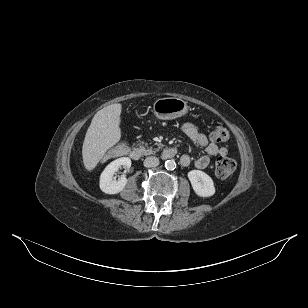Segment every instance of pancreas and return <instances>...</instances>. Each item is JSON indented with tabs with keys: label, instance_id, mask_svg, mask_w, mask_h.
Wrapping results in <instances>:
<instances>
[{
	"label": "pancreas",
	"instance_id": "pancreas-1",
	"mask_svg": "<svg viewBox=\"0 0 308 308\" xmlns=\"http://www.w3.org/2000/svg\"><path fill=\"white\" fill-rule=\"evenodd\" d=\"M139 145H140V148L144 151L145 155L154 154L156 151L160 149V147H158L157 149H152V147H148V144L144 142H140ZM145 146L147 148H145Z\"/></svg>",
	"mask_w": 308,
	"mask_h": 308
}]
</instances>
